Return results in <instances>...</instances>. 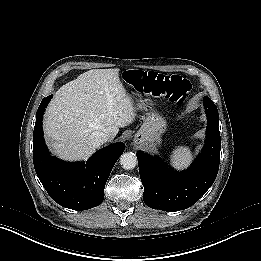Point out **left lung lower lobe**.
I'll use <instances>...</instances> for the list:
<instances>
[{
  "label": "left lung lower lobe",
  "mask_w": 261,
  "mask_h": 261,
  "mask_svg": "<svg viewBox=\"0 0 261 261\" xmlns=\"http://www.w3.org/2000/svg\"><path fill=\"white\" fill-rule=\"evenodd\" d=\"M203 104L207 115L206 142L201 154L191 167L177 173L158 157L137 152L139 172L144 186V203L163 211L186 209L211 187L219 169L221 139L219 115L213 101L205 96Z\"/></svg>",
  "instance_id": "1"
}]
</instances>
